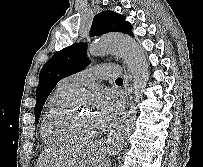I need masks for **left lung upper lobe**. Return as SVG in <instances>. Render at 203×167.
<instances>
[{
    "label": "left lung upper lobe",
    "instance_id": "5c2ea615",
    "mask_svg": "<svg viewBox=\"0 0 203 167\" xmlns=\"http://www.w3.org/2000/svg\"><path fill=\"white\" fill-rule=\"evenodd\" d=\"M108 32H121L133 36L132 26L125 21V17L110 10L95 15L91 27L92 36ZM88 64L86 44L76 43L57 52L42 67L36 90V121L39 120L43 105L56 84L61 79L83 70Z\"/></svg>",
    "mask_w": 203,
    "mask_h": 167
}]
</instances>
